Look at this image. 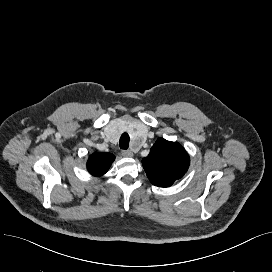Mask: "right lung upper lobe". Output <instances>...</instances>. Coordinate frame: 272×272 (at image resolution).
I'll use <instances>...</instances> for the list:
<instances>
[{
	"label": "right lung upper lobe",
	"mask_w": 272,
	"mask_h": 272,
	"mask_svg": "<svg viewBox=\"0 0 272 272\" xmlns=\"http://www.w3.org/2000/svg\"><path fill=\"white\" fill-rule=\"evenodd\" d=\"M115 156L110 153H94L87 162L88 171L94 176L105 174L110 168Z\"/></svg>",
	"instance_id": "cb5924a9"
}]
</instances>
